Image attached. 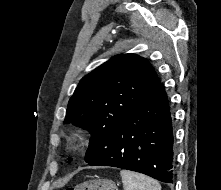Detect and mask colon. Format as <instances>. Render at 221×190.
Listing matches in <instances>:
<instances>
[{"label": "colon", "instance_id": "5ec220e1", "mask_svg": "<svg viewBox=\"0 0 221 190\" xmlns=\"http://www.w3.org/2000/svg\"><path fill=\"white\" fill-rule=\"evenodd\" d=\"M66 190H117V188L109 179H93L69 187Z\"/></svg>", "mask_w": 221, "mask_h": 190}]
</instances>
